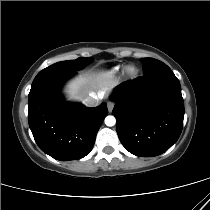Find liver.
<instances>
[{"label": "liver", "instance_id": "obj_1", "mask_svg": "<svg viewBox=\"0 0 210 210\" xmlns=\"http://www.w3.org/2000/svg\"><path fill=\"white\" fill-rule=\"evenodd\" d=\"M117 82L104 72H86L70 80L64 87L68 99L84 100L88 96L104 95Z\"/></svg>", "mask_w": 210, "mask_h": 210}]
</instances>
